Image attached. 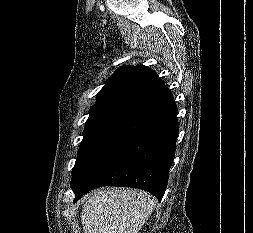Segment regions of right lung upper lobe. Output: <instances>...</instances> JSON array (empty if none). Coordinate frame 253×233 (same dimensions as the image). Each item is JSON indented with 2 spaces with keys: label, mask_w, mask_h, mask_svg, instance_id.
Listing matches in <instances>:
<instances>
[{
  "label": "right lung upper lobe",
  "mask_w": 253,
  "mask_h": 233,
  "mask_svg": "<svg viewBox=\"0 0 253 233\" xmlns=\"http://www.w3.org/2000/svg\"><path fill=\"white\" fill-rule=\"evenodd\" d=\"M163 85L164 82L149 67L124 65L107 80L97 95L96 104L110 101L137 103Z\"/></svg>",
  "instance_id": "1"
}]
</instances>
